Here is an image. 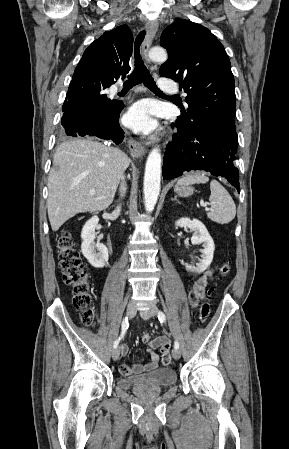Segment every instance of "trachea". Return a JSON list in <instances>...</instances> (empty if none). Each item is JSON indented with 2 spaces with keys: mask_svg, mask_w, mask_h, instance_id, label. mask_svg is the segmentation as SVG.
<instances>
[{
  "mask_svg": "<svg viewBox=\"0 0 289 449\" xmlns=\"http://www.w3.org/2000/svg\"><path fill=\"white\" fill-rule=\"evenodd\" d=\"M146 31H141L136 37L134 46L135 68L128 79L124 82V89H131L134 85L143 83L148 89L155 93H162L156 86L149 70L146 68L140 55V45L144 40Z\"/></svg>",
  "mask_w": 289,
  "mask_h": 449,
  "instance_id": "obj_1",
  "label": "trachea"
}]
</instances>
